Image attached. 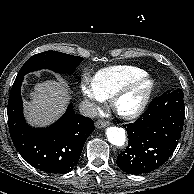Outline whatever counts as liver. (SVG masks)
<instances>
[{"instance_id":"obj_1","label":"liver","mask_w":194,"mask_h":194,"mask_svg":"<svg viewBox=\"0 0 194 194\" xmlns=\"http://www.w3.org/2000/svg\"><path fill=\"white\" fill-rule=\"evenodd\" d=\"M30 97L31 101L25 102V114L27 121L36 126L54 122L64 112L69 101L67 85L62 80L37 83Z\"/></svg>"}]
</instances>
